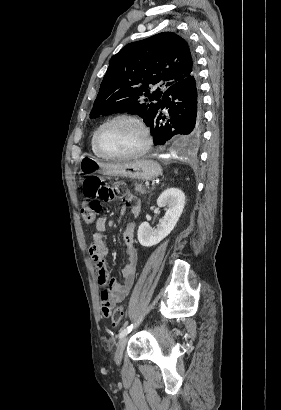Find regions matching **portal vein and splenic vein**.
<instances>
[{
    "label": "portal vein and splenic vein",
    "instance_id": "portal-vein-and-splenic-vein-1",
    "mask_svg": "<svg viewBox=\"0 0 281 410\" xmlns=\"http://www.w3.org/2000/svg\"><path fill=\"white\" fill-rule=\"evenodd\" d=\"M145 185H146V186H149V183H148V182H146V183H145Z\"/></svg>",
    "mask_w": 281,
    "mask_h": 410
}]
</instances>
